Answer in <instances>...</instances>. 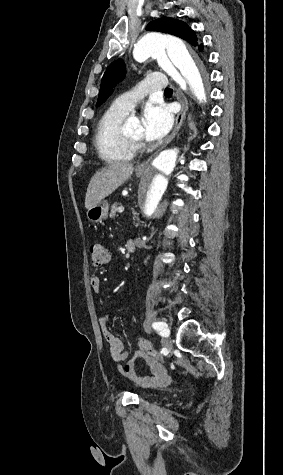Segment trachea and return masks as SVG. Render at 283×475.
<instances>
[{"label": "trachea", "mask_w": 283, "mask_h": 475, "mask_svg": "<svg viewBox=\"0 0 283 475\" xmlns=\"http://www.w3.org/2000/svg\"><path fill=\"white\" fill-rule=\"evenodd\" d=\"M172 88H166V90L164 91L165 94H169V95H172Z\"/></svg>", "instance_id": "3493384b"}]
</instances>
